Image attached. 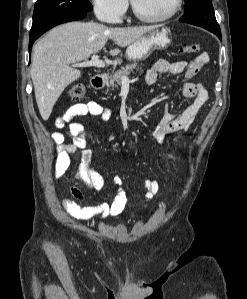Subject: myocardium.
Wrapping results in <instances>:
<instances>
[{
  "label": "myocardium",
  "instance_id": "f54148a6",
  "mask_svg": "<svg viewBox=\"0 0 247 299\" xmlns=\"http://www.w3.org/2000/svg\"><path fill=\"white\" fill-rule=\"evenodd\" d=\"M130 2H131V8H132L133 14L138 19H140L144 22H148V23H159V22H164L166 20H169L178 12V10L180 9L181 4H182V0H174L171 9L167 13H165L163 15H159V16H147L138 10V8L135 5L134 0H130Z\"/></svg>",
  "mask_w": 247,
  "mask_h": 299
}]
</instances>
